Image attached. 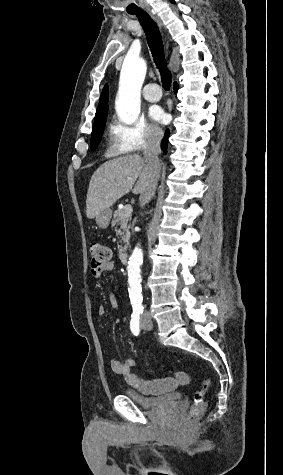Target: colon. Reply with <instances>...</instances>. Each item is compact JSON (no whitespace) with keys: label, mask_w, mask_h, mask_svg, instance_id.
I'll return each instance as SVG.
<instances>
[{"label":"colon","mask_w":283,"mask_h":475,"mask_svg":"<svg viewBox=\"0 0 283 475\" xmlns=\"http://www.w3.org/2000/svg\"><path fill=\"white\" fill-rule=\"evenodd\" d=\"M90 255L92 259V269H100L105 266L108 268L112 267V263L110 262V251L108 248L100 244L99 242H94L90 246ZM209 387V382L205 381L201 384V388L195 392L193 405L185 418V422L189 421L190 419L197 418L201 415L205 408V402L203 400V393Z\"/></svg>","instance_id":"5ec220e1"}]
</instances>
